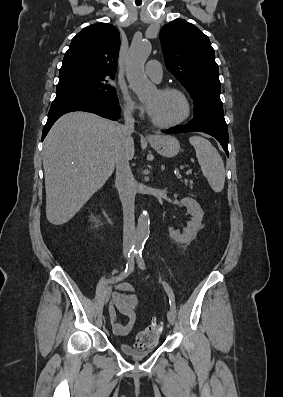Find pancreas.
<instances>
[{"label":"pancreas","mask_w":283,"mask_h":397,"mask_svg":"<svg viewBox=\"0 0 283 397\" xmlns=\"http://www.w3.org/2000/svg\"><path fill=\"white\" fill-rule=\"evenodd\" d=\"M187 180H185V185H187ZM191 188H192V182H190Z\"/></svg>","instance_id":"pancreas-1"}]
</instances>
